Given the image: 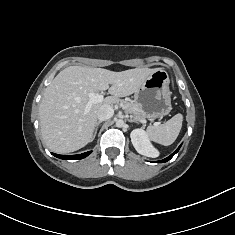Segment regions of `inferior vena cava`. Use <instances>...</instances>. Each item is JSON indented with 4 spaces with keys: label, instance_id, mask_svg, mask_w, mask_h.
<instances>
[{
    "label": "inferior vena cava",
    "instance_id": "602c4592",
    "mask_svg": "<svg viewBox=\"0 0 235 235\" xmlns=\"http://www.w3.org/2000/svg\"><path fill=\"white\" fill-rule=\"evenodd\" d=\"M114 114V109L112 106L104 105L102 106L97 113V118L99 121H105L110 119Z\"/></svg>",
    "mask_w": 235,
    "mask_h": 235
}]
</instances>
